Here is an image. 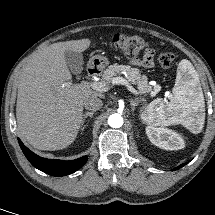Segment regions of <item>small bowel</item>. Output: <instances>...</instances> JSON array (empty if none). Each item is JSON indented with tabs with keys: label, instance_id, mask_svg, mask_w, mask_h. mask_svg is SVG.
<instances>
[{
	"label": "small bowel",
	"instance_id": "small-bowel-1",
	"mask_svg": "<svg viewBox=\"0 0 215 215\" xmlns=\"http://www.w3.org/2000/svg\"><path fill=\"white\" fill-rule=\"evenodd\" d=\"M154 52L148 49L142 59H135L132 61L134 65L141 66L144 68H150L153 65Z\"/></svg>",
	"mask_w": 215,
	"mask_h": 215
}]
</instances>
